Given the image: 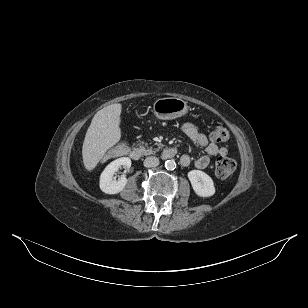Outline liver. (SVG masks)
I'll use <instances>...</instances> for the list:
<instances>
[{"label":"liver","mask_w":308,"mask_h":308,"mask_svg":"<svg viewBox=\"0 0 308 308\" xmlns=\"http://www.w3.org/2000/svg\"><path fill=\"white\" fill-rule=\"evenodd\" d=\"M121 110L122 105L116 103L94 115L82 147L83 164L88 171L93 170L105 152L119 142Z\"/></svg>","instance_id":"6515ba94"}]
</instances>
